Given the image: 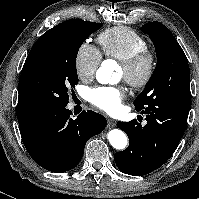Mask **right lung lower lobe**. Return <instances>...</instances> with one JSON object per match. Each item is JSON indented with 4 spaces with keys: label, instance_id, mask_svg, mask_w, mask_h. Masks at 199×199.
<instances>
[{
    "label": "right lung lower lobe",
    "instance_id": "right-lung-lower-lobe-1",
    "mask_svg": "<svg viewBox=\"0 0 199 199\" xmlns=\"http://www.w3.org/2000/svg\"><path fill=\"white\" fill-rule=\"evenodd\" d=\"M106 119L94 111L81 112L76 119L65 107L45 115L26 132L23 143L32 159L51 172L73 169L82 159L89 138L103 131Z\"/></svg>",
    "mask_w": 199,
    "mask_h": 199
}]
</instances>
